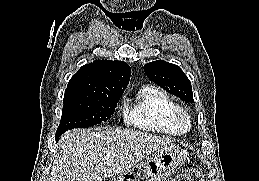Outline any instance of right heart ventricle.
Listing matches in <instances>:
<instances>
[{
	"label": "right heart ventricle",
	"mask_w": 259,
	"mask_h": 181,
	"mask_svg": "<svg viewBox=\"0 0 259 181\" xmlns=\"http://www.w3.org/2000/svg\"><path fill=\"white\" fill-rule=\"evenodd\" d=\"M183 112L166 91L147 85L138 91L133 101L125 105L124 120L131 127L176 136L187 130L181 120Z\"/></svg>",
	"instance_id": "right-heart-ventricle-1"
}]
</instances>
